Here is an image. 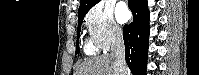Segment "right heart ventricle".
I'll use <instances>...</instances> for the list:
<instances>
[{
    "label": "right heart ventricle",
    "mask_w": 199,
    "mask_h": 75,
    "mask_svg": "<svg viewBox=\"0 0 199 75\" xmlns=\"http://www.w3.org/2000/svg\"><path fill=\"white\" fill-rule=\"evenodd\" d=\"M96 51H97V48L93 45V43L87 42L85 44V52L87 54H94V53H96Z\"/></svg>",
    "instance_id": "e07e8e85"
}]
</instances>
